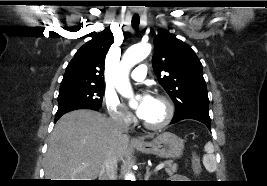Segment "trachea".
<instances>
[{"mask_svg":"<svg viewBox=\"0 0 267 186\" xmlns=\"http://www.w3.org/2000/svg\"><path fill=\"white\" fill-rule=\"evenodd\" d=\"M139 23H140V18L138 16L132 18L133 27H137L139 25Z\"/></svg>","mask_w":267,"mask_h":186,"instance_id":"3493384b","label":"trachea"}]
</instances>
